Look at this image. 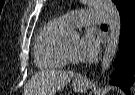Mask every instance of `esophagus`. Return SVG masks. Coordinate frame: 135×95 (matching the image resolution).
<instances>
[{"mask_svg":"<svg viewBox=\"0 0 135 95\" xmlns=\"http://www.w3.org/2000/svg\"><path fill=\"white\" fill-rule=\"evenodd\" d=\"M81 82H86L87 81V76H83L79 79Z\"/></svg>","mask_w":135,"mask_h":95,"instance_id":"esophagus-1","label":"esophagus"}]
</instances>
